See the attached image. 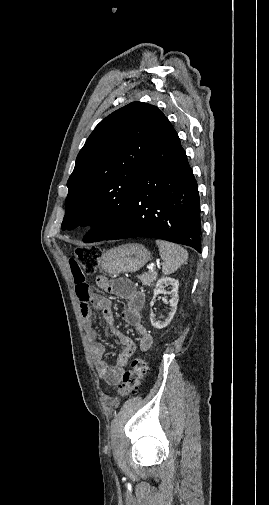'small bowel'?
I'll return each mask as SVG.
<instances>
[{
    "instance_id": "obj_1",
    "label": "small bowel",
    "mask_w": 269,
    "mask_h": 505,
    "mask_svg": "<svg viewBox=\"0 0 269 505\" xmlns=\"http://www.w3.org/2000/svg\"><path fill=\"white\" fill-rule=\"evenodd\" d=\"M70 267L96 371L106 384L116 385L126 372L128 361L136 351V345L131 338L114 327V314L110 301L101 295L91 294L87 280L95 279L98 276V271L96 270L94 274H85L77 260H72ZM96 283L99 288L126 300L127 307L122 313L123 320L140 334L139 348L142 351L150 349L153 337L143 325L141 314L145 303L144 294L136 289L131 280L126 278L109 281L107 278L99 276ZM90 304L93 308L101 310L105 323L123 347L117 358V365L114 367H110L103 359L106 348L98 340L97 332L93 327V313Z\"/></svg>"
}]
</instances>
